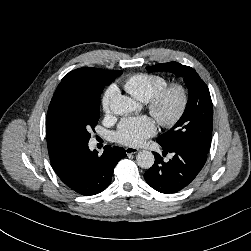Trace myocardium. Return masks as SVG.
Returning <instances> with one entry per match:
<instances>
[{
	"mask_svg": "<svg viewBox=\"0 0 251 251\" xmlns=\"http://www.w3.org/2000/svg\"><path fill=\"white\" fill-rule=\"evenodd\" d=\"M173 96L177 97V106L172 113L165 114V104ZM188 101L189 95L186 87L181 83H172L165 86L148 101V110L162 127L171 128L183 117Z\"/></svg>",
	"mask_w": 251,
	"mask_h": 251,
	"instance_id": "myocardium-1",
	"label": "myocardium"
}]
</instances>
